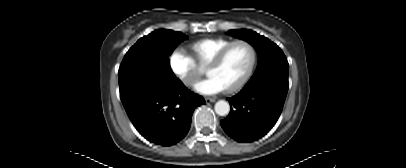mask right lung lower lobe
Returning <instances> with one entry per match:
<instances>
[{"label": "right lung lower lobe", "instance_id": "obj_1", "mask_svg": "<svg viewBox=\"0 0 406 168\" xmlns=\"http://www.w3.org/2000/svg\"><path fill=\"white\" fill-rule=\"evenodd\" d=\"M122 103L133 125L144 138L155 144L170 146L185 137L193 111L205 100L175 79L140 91Z\"/></svg>", "mask_w": 406, "mask_h": 168}]
</instances>
